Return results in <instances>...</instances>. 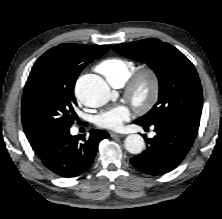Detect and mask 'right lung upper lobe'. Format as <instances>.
Instances as JSON below:
<instances>
[{
    "instance_id": "1",
    "label": "right lung upper lobe",
    "mask_w": 222,
    "mask_h": 219,
    "mask_svg": "<svg viewBox=\"0 0 222 219\" xmlns=\"http://www.w3.org/2000/svg\"><path fill=\"white\" fill-rule=\"evenodd\" d=\"M59 46L65 47L69 49L70 51L74 52L75 58H78V59H83L85 56L92 53H96V52L105 53L110 48L109 46H91V45H84V44H69V43L60 44ZM80 65L81 63L77 64L76 67ZM77 77L75 78V81ZM24 130L26 133V137L28 141L30 142L32 148L38 154L43 153L47 149V147L49 146L53 138L56 136L53 134H48V133L35 131L31 129H24Z\"/></svg>"
}]
</instances>
